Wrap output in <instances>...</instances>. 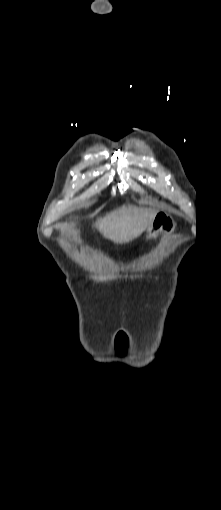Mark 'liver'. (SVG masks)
<instances>
[{"mask_svg":"<svg viewBox=\"0 0 221 510\" xmlns=\"http://www.w3.org/2000/svg\"><path fill=\"white\" fill-rule=\"evenodd\" d=\"M157 213L154 209L123 205L98 219L95 227L106 239L116 244H125L146 231Z\"/></svg>","mask_w":221,"mask_h":510,"instance_id":"liver-1","label":"liver"}]
</instances>
